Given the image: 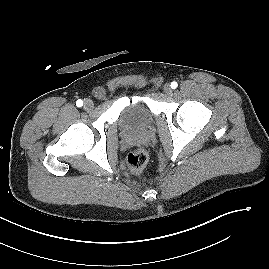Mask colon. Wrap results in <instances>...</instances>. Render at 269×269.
Returning <instances> with one entry per match:
<instances>
[{"label":"colon","mask_w":269,"mask_h":269,"mask_svg":"<svg viewBox=\"0 0 269 269\" xmlns=\"http://www.w3.org/2000/svg\"><path fill=\"white\" fill-rule=\"evenodd\" d=\"M148 162V154L143 149L130 151L126 156L128 168L133 172L141 171Z\"/></svg>","instance_id":"obj_1"}]
</instances>
